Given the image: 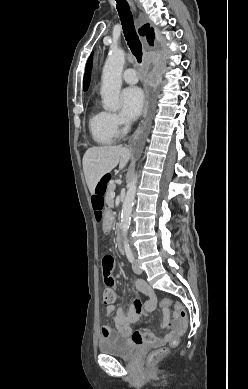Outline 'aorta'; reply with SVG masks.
Masks as SVG:
<instances>
[{
	"instance_id": "obj_1",
	"label": "aorta",
	"mask_w": 248,
	"mask_h": 389,
	"mask_svg": "<svg viewBox=\"0 0 248 389\" xmlns=\"http://www.w3.org/2000/svg\"><path fill=\"white\" fill-rule=\"evenodd\" d=\"M125 63V53L122 49H111L102 72L101 96L103 107L115 111L120 107V90L122 86V71ZM137 189V176L128 184V190L121 212V229L124 246L128 247L127 232L131 221V212Z\"/></svg>"
}]
</instances>
